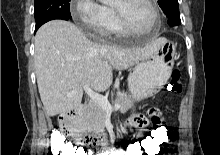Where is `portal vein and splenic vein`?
<instances>
[{
    "instance_id": "obj_1",
    "label": "portal vein and splenic vein",
    "mask_w": 220,
    "mask_h": 155,
    "mask_svg": "<svg viewBox=\"0 0 220 155\" xmlns=\"http://www.w3.org/2000/svg\"><path fill=\"white\" fill-rule=\"evenodd\" d=\"M83 89L85 90V92L88 94V96L97 104H99L103 109L107 110V111H112L113 109H119L120 105L119 104H115L114 106H112L108 99L102 95H100L99 93L94 92L88 85L83 84ZM75 92H70L68 94V96H72L74 95Z\"/></svg>"
}]
</instances>
